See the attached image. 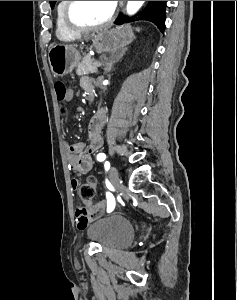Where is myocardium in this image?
I'll use <instances>...</instances> for the list:
<instances>
[{
	"label": "myocardium",
	"mask_w": 237,
	"mask_h": 300,
	"mask_svg": "<svg viewBox=\"0 0 237 300\" xmlns=\"http://www.w3.org/2000/svg\"><path fill=\"white\" fill-rule=\"evenodd\" d=\"M77 1H67L64 10V20L66 26L74 33H82V32H89V31H98L105 29L113 24L116 18L117 9L116 6L113 9L111 16L103 23L98 25H79L76 24L72 19V11Z\"/></svg>",
	"instance_id": "myocardium-1"
}]
</instances>
